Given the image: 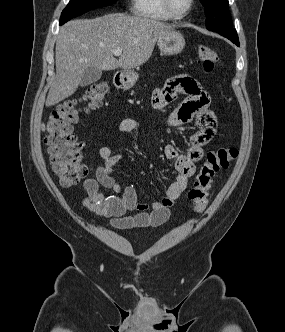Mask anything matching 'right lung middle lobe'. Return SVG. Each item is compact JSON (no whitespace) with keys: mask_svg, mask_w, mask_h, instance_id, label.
<instances>
[{"mask_svg":"<svg viewBox=\"0 0 285 332\" xmlns=\"http://www.w3.org/2000/svg\"><path fill=\"white\" fill-rule=\"evenodd\" d=\"M115 1L116 0H70L61 14L60 25L87 11L112 5Z\"/></svg>","mask_w":285,"mask_h":332,"instance_id":"1","label":"right lung middle lobe"}]
</instances>
